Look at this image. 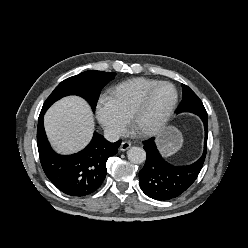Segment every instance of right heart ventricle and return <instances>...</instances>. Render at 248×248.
Segmentation results:
<instances>
[{"label": "right heart ventricle", "mask_w": 248, "mask_h": 248, "mask_svg": "<svg viewBox=\"0 0 248 248\" xmlns=\"http://www.w3.org/2000/svg\"><path fill=\"white\" fill-rule=\"evenodd\" d=\"M157 82L144 77L132 78L111 87L109 96L121 115L128 121L145 92Z\"/></svg>", "instance_id": "e07e8e85"}]
</instances>
